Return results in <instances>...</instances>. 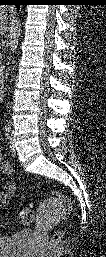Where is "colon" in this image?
I'll use <instances>...</instances> for the list:
<instances>
[{"instance_id":"obj_1","label":"colon","mask_w":106,"mask_h":257,"mask_svg":"<svg viewBox=\"0 0 106 257\" xmlns=\"http://www.w3.org/2000/svg\"><path fill=\"white\" fill-rule=\"evenodd\" d=\"M52 193L54 198L46 204V207L49 209L58 210L60 214H67L72 207L71 201L57 192ZM18 220L21 225H30L34 220V212L30 207H25L19 212ZM62 236V231L55 232L51 238V242H59Z\"/></svg>"}]
</instances>
